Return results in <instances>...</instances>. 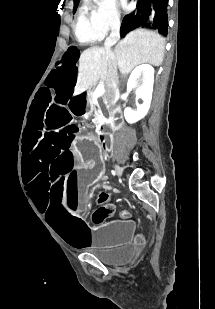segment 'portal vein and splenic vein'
I'll return each mask as SVG.
<instances>
[{
  "mask_svg": "<svg viewBox=\"0 0 215 309\" xmlns=\"http://www.w3.org/2000/svg\"><path fill=\"white\" fill-rule=\"evenodd\" d=\"M104 92H105L104 86H96L93 94H95V96H102V94H104Z\"/></svg>",
  "mask_w": 215,
  "mask_h": 309,
  "instance_id": "1",
  "label": "portal vein and splenic vein"
}]
</instances>
